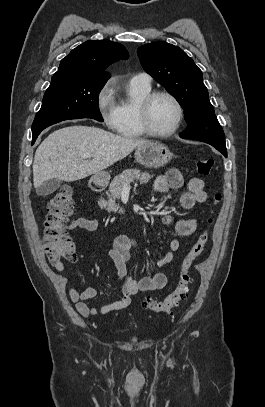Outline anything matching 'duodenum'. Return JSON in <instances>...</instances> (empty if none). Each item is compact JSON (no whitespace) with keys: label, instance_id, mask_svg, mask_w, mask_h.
Here are the masks:
<instances>
[{"label":"duodenum","instance_id":"1","mask_svg":"<svg viewBox=\"0 0 265 407\" xmlns=\"http://www.w3.org/2000/svg\"><path fill=\"white\" fill-rule=\"evenodd\" d=\"M91 186L96 191H100L103 188V185L100 182H98L97 180H93L91 183Z\"/></svg>","mask_w":265,"mask_h":407}]
</instances>
